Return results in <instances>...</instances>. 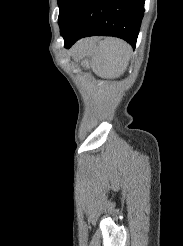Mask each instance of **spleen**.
<instances>
[{
    "instance_id": "obj_1",
    "label": "spleen",
    "mask_w": 183,
    "mask_h": 246,
    "mask_svg": "<svg viewBox=\"0 0 183 246\" xmlns=\"http://www.w3.org/2000/svg\"><path fill=\"white\" fill-rule=\"evenodd\" d=\"M132 49L120 39L107 38L100 43L97 73L104 78L121 76L128 67Z\"/></svg>"
}]
</instances>
